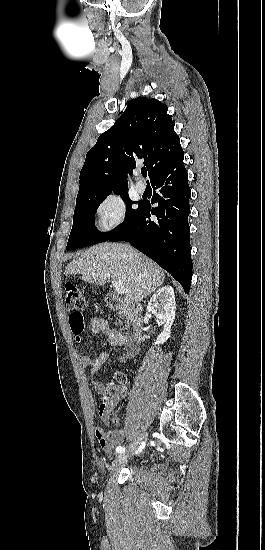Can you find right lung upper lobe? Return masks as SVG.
Returning <instances> with one entry per match:
<instances>
[{"instance_id":"right-lung-upper-lobe-1","label":"right lung upper lobe","mask_w":265,"mask_h":550,"mask_svg":"<svg viewBox=\"0 0 265 550\" xmlns=\"http://www.w3.org/2000/svg\"><path fill=\"white\" fill-rule=\"evenodd\" d=\"M175 121L157 99L131 100L115 124L86 155L77 198L127 190V173L143 159L150 179L181 149Z\"/></svg>"}]
</instances>
